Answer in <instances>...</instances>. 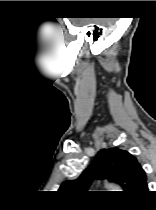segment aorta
Segmentation results:
<instances>
[{
	"mask_svg": "<svg viewBox=\"0 0 156 210\" xmlns=\"http://www.w3.org/2000/svg\"><path fill=\"white\" fill-rule=\"evenodd\" d=\"M108 189L117 190L119 187L114 184H107Z\"/></svg>",
	"mask_w": 156,
	"mask_h": 210,
	"instance_id": "1",
	"label": "aorta"
}]
</instances>
